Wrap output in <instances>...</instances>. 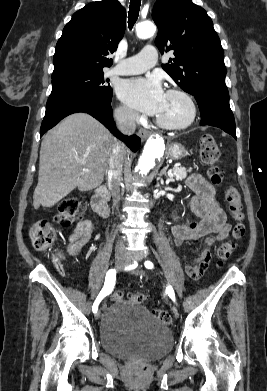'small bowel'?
I'll return each mask as SVG.
<instances>
[{
	"mask_svg": "<svg viewBox=\"0 0 267 391\" xmlns=\"http://www.w3.org/2000/svg\"><path fill=\"white\" fill-rule=\"evenodd\" d=\"M187 184L194 196L188 202V208L200 220L185 225H173L171 229L173 244L182 246L187 241H197L205 238V247L199 257L188 260L185 266L188 276L197 281L208 267L211 260V250L216 242L229 236L231 225L220 203L216 199L214 187L201 175L192 174ZM93 232V224L89 220L80 221L69 235L66 251L71 256H78L89 242Z\"/></svg>",
	"mask_w": 267,
	"mask_h": 391,
	"instance_id": "c3829d8e",
	"label": "small bowel"
}]
</instances>
